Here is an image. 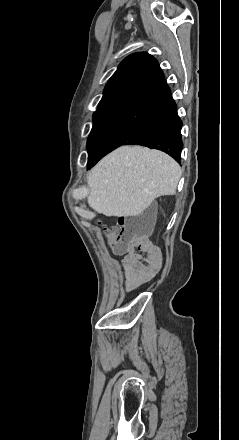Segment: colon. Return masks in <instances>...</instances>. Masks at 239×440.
Instances as JSON below:
<instances>
[{
  "label": "colon",
  "mask_w": 239,
  "mask_h": 440,
  "mask_svg": "<svg viewBox=\"0 0 239 440\" xmlns=\"http://www.w3.org/2000/svg\"><path fill=\"white\" fill-rule=\"evenodd\" d=\"M144 234L143 226L133 218L122 219L118 230L107 231L109 244L118 254L123 253L129 247H140L145 244Z\"/></svg>",
  "instance_id": "1"
}]
</instances>
